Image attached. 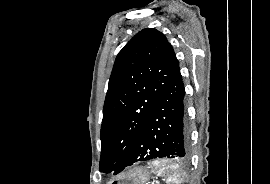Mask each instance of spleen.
Returning <instances> with one entry per match:
<instances>
[{
    "label": "spleen",
    "mask_w": 270,
    "mask_h": 184,
    "mask_svg": "<svg viewBox=\"0 0 270 184\" xmlns=\"http://www.w3.org/2000/svg\"><path fill=\"white\" fill-rule=\"evenodd\" d=\"M152 170H156L159 175H162L166 181L170 183L180 184L181 177L176 164L166 165L160 161H154L150 166Z\"/></svg>",
    "instance_id": "1"
}]
</instances>
